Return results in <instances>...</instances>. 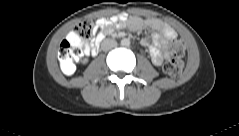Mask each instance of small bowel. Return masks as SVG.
<instances>
[{
    "instance_id": "obj_1",
    "label": "small bowel",
    "mask_w": 239,
    "mask_h": 136,
    "mask_svg": "<svg viewBox=\"0 0 239 136\" xmlns=\"http://www.w3.org/2000/svg\"><path fill=\"white\" fill-rule=\"evenodd\" d=\"M97 24L102 30L100 34L111 33L115 27L124 28L128 26L135 31L144 28L152 29L154 32L143 39V44L148 48L151 60L156 66L163 65L171 57L169 43L177 38L176 31L170 25L157 18H141L137 16L127 18L124 15H120L112 20L100 18ZM67 37L70 41L80 45L84 55L91 53L93 43L79 42L74 32H70Z\"/></svg>"
}]
</instances>
